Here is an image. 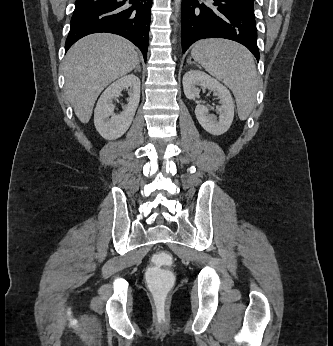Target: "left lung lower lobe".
Listing matches in <instances>:
<instances>
[{
	"label": "left lung lower lobe",
	"instance_id": "1",
	"mask_svg": "<svg viewBox=\"0 0 333 346\" xmlns=\"http://www.w3.org/2000/svg\"><path fill=\"white\" fill-rule=\"evenodd\" d=\"M205 38H225L246 46L259 61L253 5L243 0H182L181 42L183 53Z\"/></svg>",
	"mask_w": 333,
	"mask_h": 346
}]
</instances>
